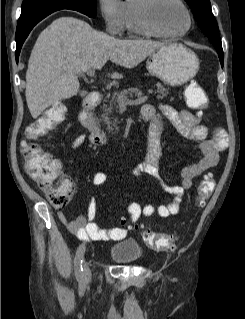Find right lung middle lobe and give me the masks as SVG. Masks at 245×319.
I'll return each instance as SVG.
<instances>
[{
  "label": "right lung middle lobe",
  "mask_w": 245,
  "mask_h": 319,
  "mask_svg": "<svg viewBox=\"0 0 245 319\" xmlns=\"http://www.w3.org/2000/svg\"><path fill=\"white\" fill-rule=\"evenodd\" d=\"M60 9H72L96 17V0H23L18 25Z\"/></svg>",
  "instance_id": "obj_1"
}]
</instances>
